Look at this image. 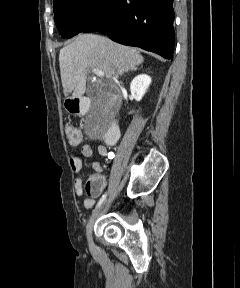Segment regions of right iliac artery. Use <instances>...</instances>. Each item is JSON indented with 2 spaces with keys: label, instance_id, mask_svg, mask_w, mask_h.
<instances>
[{
  "label": "right iliac artery",
  "instance_id": "right-iliac-artery-1",
  "mask_svg": "<svg viewBox=\"0 0 240 288\" xmlns=\"http://www.w3.org/2000/svg\"><path fill=\"white\" fill-rule=\"evenodd\" d=\"M106 196H107V192L104 193V194L102 195V197L99 199V201H98V203H97L94 211H96V210L101 206V204H102V203L104 202V200L106 199Z\"/></svg>",
  "mask_w": 240,
  "mask_h": 288
}]
</instances>
